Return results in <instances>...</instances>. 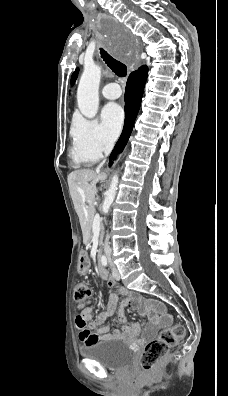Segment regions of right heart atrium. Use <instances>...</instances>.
Instances as JSON below:
<instances>
[{
	"mask_svg": "<svg viewBox=\"0 0 228 396\" xmlns=\"http://www.w3.org/2000/svg\"><path fill=\"white\" fill-rule=\"evenodd\" d=\"M72 136L75 155L81 160L96 161L112 147L111 141L94 119L77 118L74 122Z\"/></svg>",
	"mask_w": 228,
	"mask_h": 396,
	"instance_id": "d8ad5b80",
	"label": "right heart atrium"
}]
</instances>
